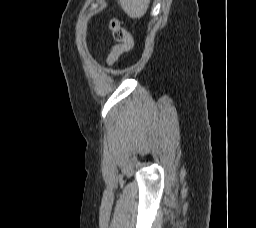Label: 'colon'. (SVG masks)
Wrapping results in <instances>:
<instances>
[{"mask_svg":"<svg viewBox=\"0 0 256 228\" xmlns=\"http://www.w3.org/2000/svg\"><path fill=\"white\" fill-rule=\"evenodd\" d=\"M110 30L112 32L114 40L117 42L115 46L110 50L107 63L108 65H114L121 55L133 48V38L129 32L123 27L120 19L114 17L109 23Z\"/></svg>","mask_w":256,"mask_h":228,"instance_id":"5ec220e1","label":"colon"}]
</instances>
